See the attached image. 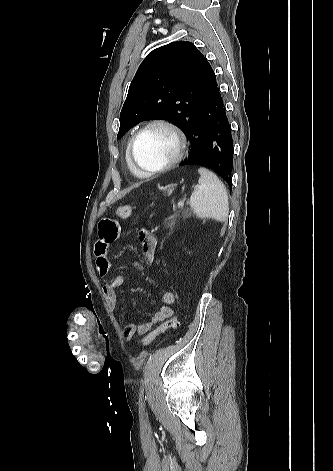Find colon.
I'll use <instances>...</instances> for the list:
<instances>
[{
    "mask_svg": "<svg viewBox=\"0 0 333 471\" xmlns=\"http://www.w3.org/2000/svg\"><path fill=\"white\" fill-rule=\"evenodd\" d=\"M132 213H133V207L131 205H122L116 209V215L120 218H128L132 215ZM179 325H180V322L176 316L170 318L169 320L159 325L155 330H153L147 336L144 337L142 341L143 346L149 345L160 334H163L169 329H175L179 327Z\"/></svg>",
    "mask_w": 333,
    "mask_h": 471,
    "instance_id": "obj_1",
    "label": "colon"
}]
</instances>
